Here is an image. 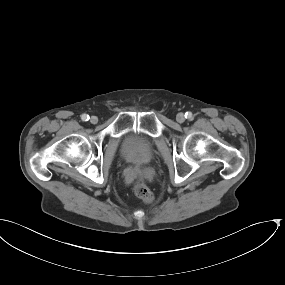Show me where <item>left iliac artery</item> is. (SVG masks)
I'll use <instances>...</instances> for the list:
<instances>
[{
    "label": "left iliac artery",
    "mask_w": 285,
    "mask_h": 285,
    "mask_svg": "<svg viewBox=\"0 0 285 285\" xmlns=\"http://www.w3.org/2000/svg\"><path fill=\"white\" fill-rule=\"evenodd\" d=\"M185 118L188 119V120H192L193 119V115L191 112H186L185 113Z\"/></svg>",
    "instance_id": "left-iliac-artery-1"
}]
</instances>
